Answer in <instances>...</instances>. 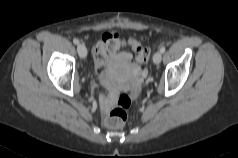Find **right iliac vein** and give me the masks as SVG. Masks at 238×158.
Returning a JSON list of instances; mask_svg holds the SVG:
<instances>
[{"label":"right iliac vein","instance_id":"obj_1","mask_svg":"<svg viewBox=\"0 0 238 158\" xmlns=\"http://www.w3.org/2000/svg\"><path fill=\"white\" fill-rule=\"evenodd\" d=\"M77 52L81 58H86L87 56V48L84 44L80 43L77 46Z\"/></svg>","mask_w":238,"mask_h":158}]
</instances>
